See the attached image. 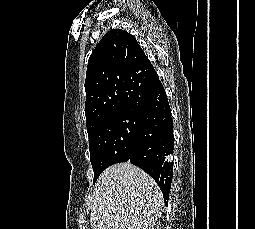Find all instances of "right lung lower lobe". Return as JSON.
<instances>
[{"mask_svg": "<svg viewBox=\"0 0 255 229\" xmlns=\"http://www.w3.org/2000/svg\"><path fill=\"white\" fill-rule=\"evenodd\" d=\"M128 111L140 118L133 153L128 160L147 172L159 185L165 206L173 178V121L164 87L156 74Z\"/></svg>", "mask_w": 255, "mask_h": 229, "instance_id": "right-lung-lower-lobe-1", "label": "right lung lower lobe"}]
</instances>
